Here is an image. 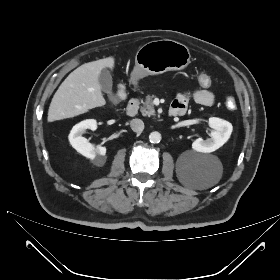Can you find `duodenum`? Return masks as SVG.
<instances>
[{
    "instance_id": "obj_1",
    "label": "duodenum",
    "mask_w": 280,
    "mask_h": 280,
    "mask_svg": "<svg viewBox=\"0 0 280 280\" xmlns=\"http://www.w3.org/2000/svg\"><path fill=\"white\" fill-rule=\"evenodd\" d=\"M139 107H140L139 97H133L132 99H130V101L127 105V114L131 117H134L138 113ZM179 114H180V111L178 109L171 107V109L169 111L170 116H177Z\"/></svg>"
}]
</instances>
